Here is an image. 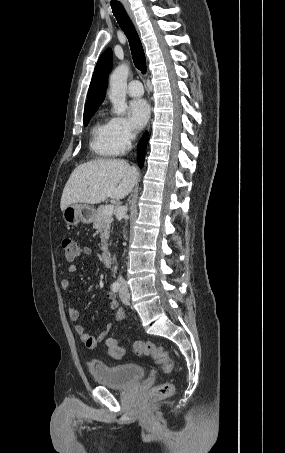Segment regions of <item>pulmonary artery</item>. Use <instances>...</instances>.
I'll use <instances>...</instances> for the list:
<instances>
[{"label": "pulmonary artery", "mask_w": 285, "mask_h": 453, "mask_svg": "<svg viewBox=\"0 0 285 453\" xmlns=\"http://www.w3.org/2000/svg\"><path fill=\"white\" fill-rule=\"evenodd\" d=\"M127 93L131 97H140L144 93L142 83L139 80H131L127 87Z\"/></svg>", "instance_id": "1"}]
</instances>
